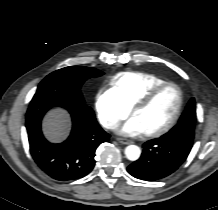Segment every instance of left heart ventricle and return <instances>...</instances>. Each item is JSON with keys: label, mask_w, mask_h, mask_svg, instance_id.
<instances>
[{"label": "left heart ventricle", "mask_w": 218, "mask_h": 210, "mask_svg": "<svg viewBox=\"0 0 218 210\" xmlns=\"http://www.w3.org/2000/svg\"><path fill=\"white\" fill-rule=\"evenodd\" d=\"M178 104V92L175 87L168 86L146 107L134 112L143 130L150 132L166 125L172 118Z\"/></svg>", "instance_id": "left-heart-ventricle-1"}]
</instances>
